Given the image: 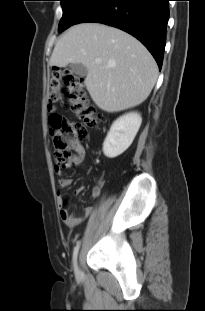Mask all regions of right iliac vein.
Instances as JSON below:
<instances>
[{
  "label": "right iliac vein",
  "instance_id": "63e3f726",
  "mask_svg": "<svg viewBox=\"0 0 205 311\" xmlns=\"http://www.w3.org/2000/svg\"><path fill=\"white\" fill-rule=\"evenodd\" d=\"M75 273H76V276H77V277H79L80 274H81V271H80V268H79L78 265H76V267H75Z\"/></svg>",
  "mask_w": 205,
  "mask_h": 311
}]
</instances>
